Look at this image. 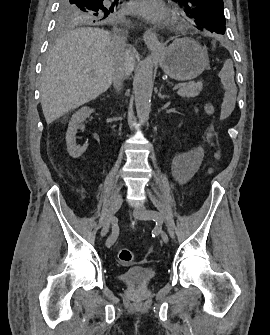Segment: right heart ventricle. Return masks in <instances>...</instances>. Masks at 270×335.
I'll return each mask as SVG.
<instances>
[{"label":"right heart ventricle","instance_id":"obj_1","mask_svg":"<svg viewBox=\"0 0 270 335\" xmlns=\"http://www.w3.org/2000/svg\"><path fill=\"white\" fill-rule=\"evenodd\" d=\"M135 78H145V77H135Z\"/></svg>","mask_w":270,"mask_h":335}]
</instances>
